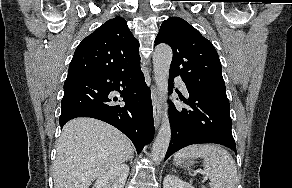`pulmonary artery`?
<instances>
[{
    "instance_id": "pulmonary-artery-1",
    "label": "pulmonary artery",
    "mask_w": 292,
    "mask_h": 188,
    "mask_svg": "<svg viewBox=\"0 0 292 188\" xmlns=\"http://www.w3.org/2000/svg\"><path fill=\"white\" fill-rule=\"evenodd\" d=\"M178 85H179L180 89H181L185 94H187V88H186V85L184 84V82H182V81H178Z\"/></svg>"
}]
</instances>
